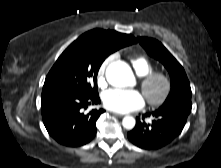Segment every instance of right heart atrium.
Returning <instances> with one entry per match:
<instances>
[{"mask_svg": "<svg viewBox=\"0 0 221 168\" xmlns=\"http://www.w3.org/2000/svg\"><path fill=\"white\" fill-rule=\"evenodd\" d=\"M111 61H112V57L107 58L103 62V64L100 66V68H99V70L97 72V82H98V85L100 87H104L107 84L106 77H105V71H106V68H107L108 64Z\"/></svg>", "mask_w": 221, "mask_h": 168, "instance_id": "right-heart-atrium-1", "label": "right heart atrium"}]
</instances>
